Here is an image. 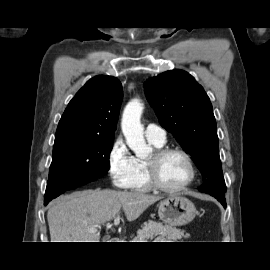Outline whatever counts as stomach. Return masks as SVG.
<instances>
[{
    "instance_id": "obj_1",
    "label": "stomach",
    "mask_w": 270,
    "mask_h": 270,
    "mask_svg": "<svg viewBox=\"0 0 270 270\" xmlns=\"http://www.w3.org/2000/svg\"><path fill=\"white\" fill-rule=\"evenodd\" d=\"M196 213L194 204L183 196L171 195L159 203L160 219L172 226H183L190 223Z\"/></svg>"
}]
</instances>
